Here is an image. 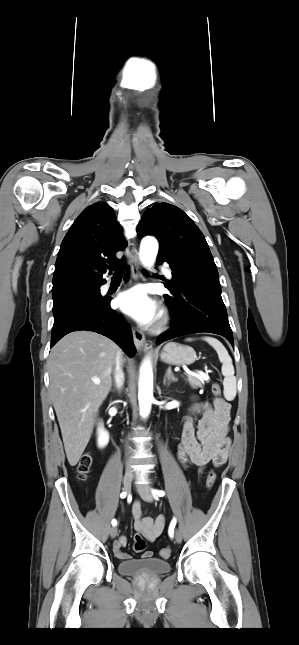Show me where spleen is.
<instances>
[{"label": "spleen", "instance_id": "3e777b00", "mask_svg": "<svg viewBox=\"0 0 299 645\" xmlns=\"http://www.w3.org/2000/svg\"><path fill=\"white\" fill-rule=\"evenodd\" d=\"M188 340L190 341L191 339ZM203 340L211 345L218 354L219 360L222 363L221 372L224 376V396L227 400L232 401L236 396V377L234 376L235 371L232 359L223 344L216 338L204 337Z\"/></svg>", "mask_w": 299, "mask_h": 645}]
</instances>
